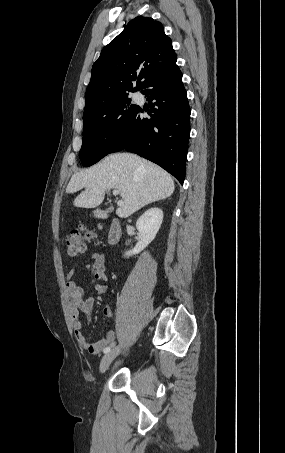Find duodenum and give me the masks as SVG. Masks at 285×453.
<instances>
[{"label":"duodenum","instance_id":"duodenum-1","mask_svg":"<svg viewBox=\"0 0 285 453\" xmlns=\"http://www.w3.org/2000/svg\"><path fill=\"white\" fill-rule=\"evenodd\" d=\"M121 237V226L118 219L113 218L107 233V241L109 244H116Z\"/></svg>","mask_w":285,"mask_h":453}]
</instances>
